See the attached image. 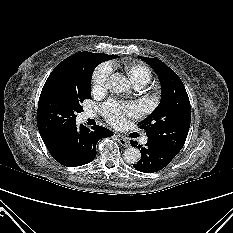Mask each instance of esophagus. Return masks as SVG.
Masks as SVG:
<instances>
[{
  "mask_svg": "<svg viewBox=\"0 0 233 233\" xmlns=\"http://www.w3.org/2000/svg\"><path fill=\"white\" fill-rule=\"evenodd\" d=\"M118 141L122 146L130 147V142L126 137L118 135Z\"/></svg>",
  "mask_w": 233,
  "mask_h": 233,
  "instance_id": "34e87169",
  "label": "esophagus"
}]
</instances>
